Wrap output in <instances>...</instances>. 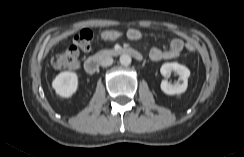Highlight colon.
Masks as SVG:
<instances>
[{"label": "colon", "mask_w": 244, "mask_h": 157, "mask_svg": "<svg viewBox=\"0 0 244 157\" xmlns=\"http://www.w3.org/2000/svg\"><path fill=\"white\" fill-rule=\"evenodd\" d=\"M101 38L105 41H115L123 36V32L119 30H105L101 33ZM93 33L84 29L76 34L73 43L62 53L56 54L51 59V64L58 70H75L79 66V50H87L90 48ZM188 52L194 51L191 43L186 45Z\"/></svg>", "instance_id": "colon-1"}]
</instances>
